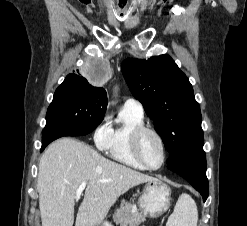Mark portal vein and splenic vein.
Instances as JSON below:
<instances>
[{
    "label": "portal vein and splenic vein",
    "instance_id": "18ae733b",
    "mask_svg": "<svg viewBox=\"0 0 247 226\" xmlns=\"http://www.w3.org/2000/svg\"><path fill=\"white\" fill-rule=\"evenodd\" d=\"M101 182H105V181L101 180ZM85 187H86V182L81 183V185L78 187V189L76 191L75 198H80V195H81L82 191L85 189Z\"/></svg>",
    "mask_w": 247,
    "mask_h": 226
}]
</instances>
